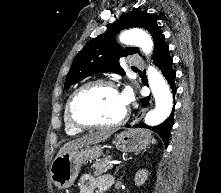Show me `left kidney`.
<instances>
[{"mask_svg": "<svg viewBox=\"0 0 221 193\" xmlns=\"http://www.w3.org/2000/svg\"><path fill=\"white\" fill-rule=\"evenodd\" d=\"M148 178V171L146 169H142L136 172L134 181L135 185L140 187L142 186Z\"/></svg>", "mask_w": 221, "mask_h": 193, "instance_id": "1", "label": "left kidney"}]
</instances>
